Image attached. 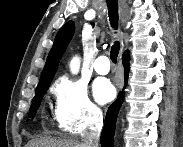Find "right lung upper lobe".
<instances>
[{
    "instance_id": "obj_1",
    "label": "right lung upper lobe",
    "mask_w": 183,
    "mask_h": 147,
    "mask_svg": "<svg viewBox=\"0 0 183 147\" xmlns=\"http://www.w3.org/2000/svg\"><path fill=\"white\" fill-rule=\"evenodd\" d=\"M74 33V24L69 21L59 30L56 35L53 47L48 55L46 64L41 74L36 90L49 87L56 71L58 63L65 52L70 39Z\"/></svg>"
}]
</instances>
